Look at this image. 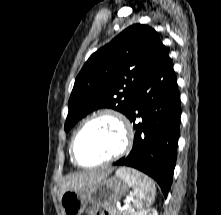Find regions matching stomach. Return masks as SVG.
<instances>
[{
    "instance_id": "obj_1",
    "label": "stomach",
    "mask_w": 221,
    "mask_h": 215,
    "mask_svg": "<svg viewBox=\"0 0 221 215\" xmlns=\"http://www.w3.org/2000/svg\"><path fill=\"white\" fill-rule=\"evenodd\" d=\"M122 172L129 173L140 180L146 176L137 171L122 168ZM129 184L123 176H113L98 181L86 190H68L60 197L63 215H81L88 205L114 208L115 204L124 196Z\"/></svg>"
}]
</instances>
